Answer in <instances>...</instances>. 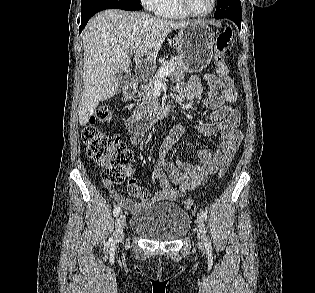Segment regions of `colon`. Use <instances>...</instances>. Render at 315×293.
Listing matches in <instances>:
<instances>
[{
	"mask_svg": "<svg viewBox=\"0 0 315 293\" xmlns=\"http://www.w3.org/2000/svg\"><path fill=\"white\" fill-rule=\"evenodd\" d=\"M232 38V29L226 27L221 31L215 42L214 62L216 65L217 75L223 79L226 85V91L230 94L236 93L237 78L229 77V68L226 63V52L229 48ZM112 111L109 106H99L89 120L82 132V139L86 147L88 156L100 165L102 168V175L105 182L109 184H121L131 174L129 165L132 160V153L127 149L123 140L117 136L108 135L101 132L95 123H106L111 121ZM228 168V163L220 167L218 178L224 176ZM135 190H141L139 186L129 182V191L132 196ZM182 204L185 209L193 210L195 202L192 198H184Z\"/></svg>",
	"mask_w": 315,
	"mask_h": 293,
	"instance_id": "obj_1",
	"label": "colon"
}]
</instances>
